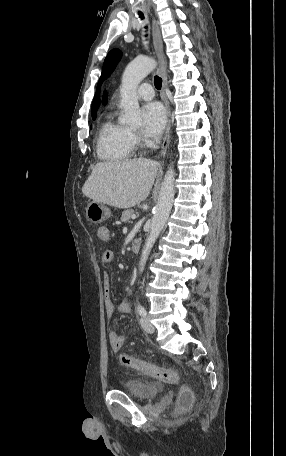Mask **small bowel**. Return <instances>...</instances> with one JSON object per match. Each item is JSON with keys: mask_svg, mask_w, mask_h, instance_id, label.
Returning <instances> with one entry per match:
<instances>
[{"mask_svg": "<svg viewBox=\"0 0 286 456\" xmlns=\"http://www.w3.org/2000/svg\"><path fill=\"white\" fill-rule=\"evenodd\" d=\"M98 237L101 240L107 241L110 238V230L106 226H101L97 230ZM114 259V252L111 250H107L103 253L101 257V261L103 264H109ZM103 297H104V305L105 311L109 318H111L116 311L121 313H128L130 311V304L128 301L124 300L116 305L111 297V280L108 274H104L103 277ZM125 338L123 335H120L116 331H111L109 333V342L111 347L114 351H119L123 344Z\"/></svg>", "mask_w": 286, "mask_h": 456, "instance_id": "obj_1", "label": "small bowel"}]
</instances>
